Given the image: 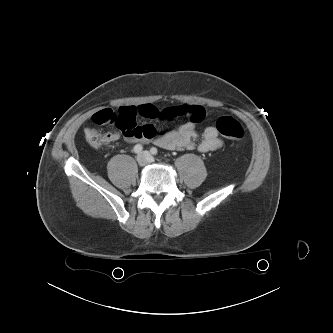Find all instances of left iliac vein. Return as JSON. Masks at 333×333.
Returning <instances> with one entry per match:
<instances>
[{"instance_id": "1", "label": "left iliac vein", "mask_w": 333, "mask_h": 333, "mask_svg": "<svg viewBox=\"0 0 333 333\" xmlns=\"http://www.w3.org/2000/svg\"><path fill=\"white\" fill-rule=\"evenodd\" d=\"M144 154L147 156L148 158V162H153V157L150 155V153L148 151H145Z\"/></svg>"}]
</instances>
